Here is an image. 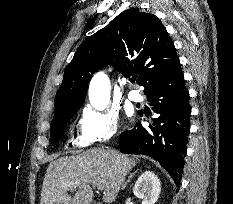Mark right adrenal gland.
Returning <instances> with one entry per match:
<instances>
[{"mask_svg":"<svg viewBox=\"0 0 233 204\" xmlns=\"http://www.w3.org/2000/svg\"><path fill=\"white\" fill-rule=\"evenodd\" d=\"M136 172L130 174V176L128 177V180L122 185V189L123 190L125 189V187L127 186V184L131 181L132 177L135 175Z\"/></svg>","mask_w":233,"mask_h":204,"instance_id":"right-adrenal-gland-1","label":"right adrenal gland"}]
</instances>
